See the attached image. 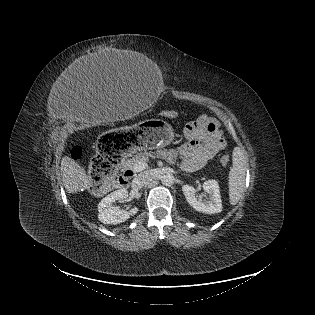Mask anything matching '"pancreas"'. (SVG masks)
<instances>
[{
  "label": "pancreas",
  "instance_id": "obj_1",
  "mask_svg": "<svg viewBox=\"0 0 315 315\" xmlns=\"http://www.w3.org/2000/svg\"><path fill=\"white\" fill-rule=\"evenodd\" d=\"M175 156H176V152L173 150H167V149H163V150H157L155 152L152 151H145V152H140L136 155H134L132 158L128 159L124 166L127 169L130 170H134L136 164L138 162H147L149 160V158H162L164 160H166L167 162H169L170 164H176L175 161ZM178 165V163H177Z\"/></svg>",
  "mask_w": 315,
  "mask_h": 315
}]
</instances>
